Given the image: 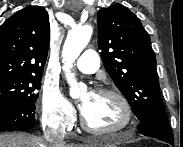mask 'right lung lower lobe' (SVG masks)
Listing matches in <instances>:
<instances>
[{"label": "right lung lower lobe", "instance_id": "right-lung-lower-lobe-1", "mask_svg": "<svg viewBox=\"0 0 183 147\" xmlns=\"http://www.w3.org/2000/svg\"><path fill=\"white\" fill-rule=\"evenodd\" d=\"M35 125L33 102L0 103V132L27 131Z\"/></svg>", "mask_w": 183, "mask_h": 147}]
</instances>
